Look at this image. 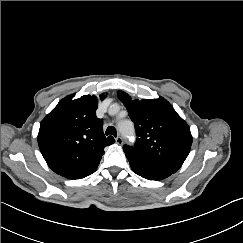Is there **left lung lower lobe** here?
Listing matches in <instances>:
<instances>
[{"label": "left lung lower lobe", "mask_w": 243, "mask_h": 243, "mask_svg": "<svg viewBox=\"0 0 243 243\" xmlns=\"http://www.w3.org/2000/svg\"><path fill=\"white\" fill-rule=\"evenodd\" d=\"M125 154L132 170L148 180H162L181 167L179 164L143 158L128 152Z\"/></svg>", "instance_id": "1"}]
</instances>
